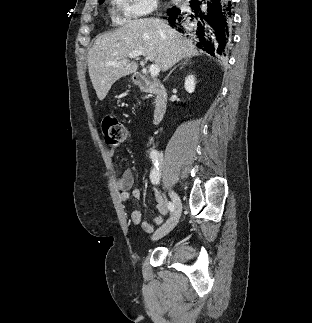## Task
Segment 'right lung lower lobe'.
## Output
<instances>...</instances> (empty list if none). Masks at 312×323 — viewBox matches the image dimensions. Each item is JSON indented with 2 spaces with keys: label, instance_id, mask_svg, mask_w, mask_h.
I'll return each mask as SVG.
<instances>
[{
  "label": "right lung lower lobe",
  "instance_id": "1",
  "mask_svg": "<svg viewBox=\"0 0 312 323\" xmlns=\"http://www.w3.org/2000/svg\"><path fill=\"white\" fill-rule=\"evenodd\" d=\"M233 5L230 0H191L188 8L172 7L168 21L180 32L190 30L197 47L212 56H225L231 40Z\"/></svg>",
  "mask_w": 312,
  "mask_h": 323
}]
</instances>
